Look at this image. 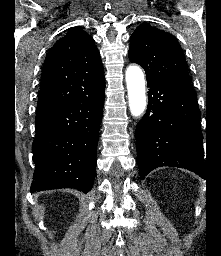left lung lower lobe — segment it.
<instances>
[{
    "label": "left lung lower lobe",
    "mask_w": 221,
    "mask_h": 256,
    "mask_svg": "<svg viewBox=\"0 0 221 256\" xmlns=\"http://www.w3.org/2000/svg\"><path fill=\"white\" fill-rule=\"evenodd\" d=\"M148 107L136 127L140 178L162 166L186 168L205 178L197 95L190 83L147 80Z\"/></svg>",
    "instance_id": "0a47b994"
}]
</instances>
